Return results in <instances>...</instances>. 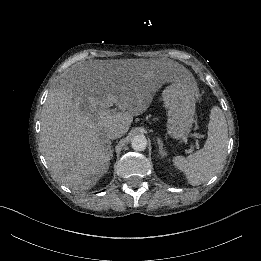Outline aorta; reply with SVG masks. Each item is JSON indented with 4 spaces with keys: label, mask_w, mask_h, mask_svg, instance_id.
<instances>
[{
    "label": "aorta",
    "mask_w": 261,
    "mask_h": 261,
    "mask_svg": "<svg viewBox=\"0 0 261 261\" xmlns=\"http://www.w3.org/2000/svg\"><path fill=\"white\" fill-rule=\"evenodd\" d=\"M131 147L135 151H144L147 147V139L144 135L134 136L131 140Z\"/></svg>",
    "instance_id": "762f6f07"
}]
</instances>
